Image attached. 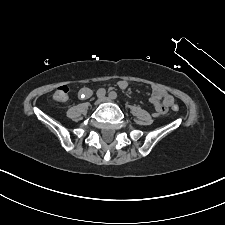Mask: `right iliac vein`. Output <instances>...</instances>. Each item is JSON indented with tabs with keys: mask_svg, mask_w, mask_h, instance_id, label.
I'll return each instance as SVG.
<instances>
[{
	"mask_svg": "<svg viewBox=\"0 0 225 225\" xmlns=\"http://www.w3.org/2000/svg\"><path fill=\"white\" fill-rule=\"evenodd\" d=\"M101 102H102V99H101V98H98V99L95 101L94 104L97 106V105H99Z\"/></svg>",
	"mask_w": 225,
	"mask_h": 225,
	"instance_id": "1",
	"label": "right iliac vein"
}]
</instances>
